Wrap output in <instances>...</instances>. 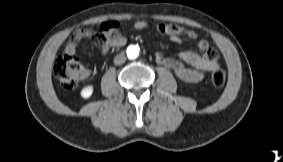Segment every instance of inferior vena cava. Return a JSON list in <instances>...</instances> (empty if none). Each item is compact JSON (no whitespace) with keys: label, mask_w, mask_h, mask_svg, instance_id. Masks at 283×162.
Returning <instances> with one entry per match:
<instances>
[{"label":"inferior vena cava","mask_w":283,"mask_h":162,"mask_svg":"<svg viewBox=\"0 0 283 162\" xmlns=\"http://www.w3.org/2000/svg\"><path fill=\"white\" fill-rule=\"evenodd\" d=\"M125 61H126V57H125V55L122 54V53L116 55L115 58H114V64H115V65H121V64H123Z\"/></svg>","instance_id":"inferior-vena-cava-1"}]
</instances>
